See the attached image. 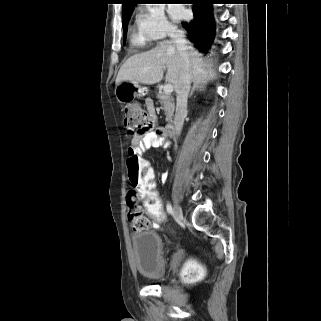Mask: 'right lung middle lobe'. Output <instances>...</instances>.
Returning <instances> with one entry per match:
<instances>
[{"instance_id":"right-lung-middle-lobe-1","label":"right lung middle lobe","mask_w":321,"mask_h":321,"mask_svg":"<svg viewBox=\"0 0 321 321\" xmlns=\"http://www.w3.org/2000/svg\"><path fill=\"white\" fill-rule=\"evenodd\" d=\"M132 12H128L124 15H122V24H123V36L124 38L126 37V33H127V26H128V22L129 19L131 17ZM125 41V40H124Z\"/></svg>"}]
</instances>
